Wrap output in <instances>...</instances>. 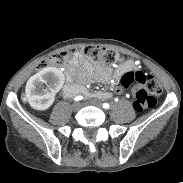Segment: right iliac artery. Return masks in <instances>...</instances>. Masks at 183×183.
<instances>
[{
    "label": "right iliac artery",
    "mask_w": 183,
    "mask_h": 183,
    "mask_svg": "<svg viewBox=\"0 0 183 183\" xmlns=\"http://www.w3.org/2000/svg\"><path fill=\"white\" fill-rule=\"evenodd\" d=\"M82 99H83L82 96H76V97L74 98L75 101H79V100H82Z\"/></svg>",
    "instance_id": "obj_1"
}]
</instances>
